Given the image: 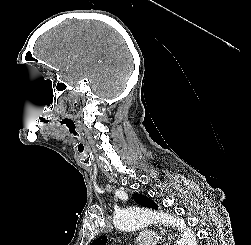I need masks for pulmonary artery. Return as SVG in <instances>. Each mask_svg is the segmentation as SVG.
<instances>
[{
    "label": "pulmonary artery",
    "mask_w": 251,
    "mask_h": 245,
    "mask_svg": "<svg viewBox=\"0 0 251 245\" xmlns=\"http://www.w3.org/2000/svg\"><path fill=\"white\" fill-rule=\"evenodd\" d=\"M138 245H156L157 233L155 232H144L141 233L137 238Z\"/></svg>",
    "instance_id": "1"
}]
</instances>
